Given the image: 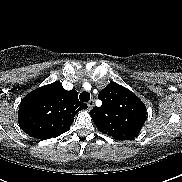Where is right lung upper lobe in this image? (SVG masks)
Listing matches in <instances>:
<instances>
[{"label": "right lung upper lobe", "mask_w": 182, "mask_h": 182, "mask_svg": "<svg viewBox=\"0 0 182 182\" xmlns=\"http://www.w3.org/2000/svg\"><path fill=\"white\" fill-rule=\"evenodd\" d=\"M85 108L76 90L66 91L57 81L35 89L21 100L18 123L34 138H54L67 132L74 116Z\"/></svg>", "instance_id": "obj_1"}]
</instances>
